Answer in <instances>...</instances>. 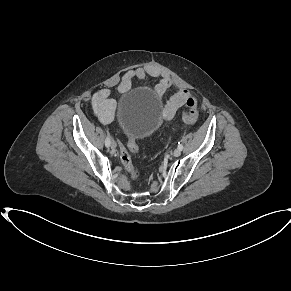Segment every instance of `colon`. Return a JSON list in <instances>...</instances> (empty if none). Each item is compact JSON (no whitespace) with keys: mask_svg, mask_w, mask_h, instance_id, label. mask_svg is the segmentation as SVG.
<instances>
[{"mask_svg":"<svg viewBox=\"0 0 291 291\" xmlns=\"http://www.w3.org/2000/svg\"><path fill=\"white\" fill-rule=\"evenodd\" d=\"M182 118L187 122H194L198 118V100L194 94H190L186 100V109L182 113ZM138 152L137 142L130 138L128 140L127 146L121 144L120 146V157L122 164L126 171L129 173L131 179L136 180L139 177V173L134 168L131 161L130 153Z\"/></svg>","mask_w":291,"mask_h":291,"instance_id":"colon-1","label":"colon"}]
</instances>
